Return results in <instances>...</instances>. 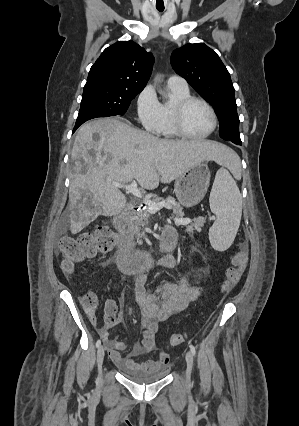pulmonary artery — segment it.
Segmentation results:
<instances>
[{
	"label": "pulmonary artery",
	"mask_w": 299,
	"mask_h": 426,
	"mask_svg": "<svg viewBox=\"0 0 299 426\" xmlns=\"http://www.w3.org/2000/svg\"><path fill=\"white\" fill-rule=\"evenodd\" d=\"M168 85L178 87L181 89H187L188 84L184 78L178 75H172L167 80Z\"/></svg>",
	"instance_id": "e3ab8cb5"
}]
</instances>
